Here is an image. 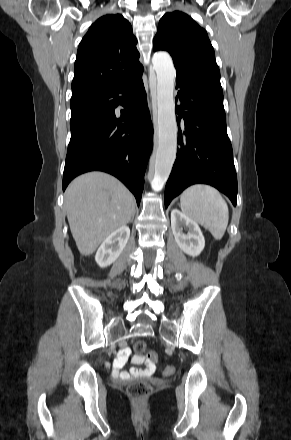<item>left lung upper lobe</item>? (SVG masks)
I'll return each instance as SVG.
<instances>
[{
	"label": "left lung upper lobe",
	"instance_id": "obj_1",
	"mask_svg": "<svg viewBox=\"0 0 291 440\" xmlns=\"http://www.w3.org/2000/svg\"><path fill=\"white\" fill-rule=\"evenodd\" d=\"M153 50L170 53L176 80L223 94L220 71L208 35L187 14L174 11L161 18Z\"/></svg>",
	"mask_w": 291,
	"mask_h": 440
}]
</instances>
